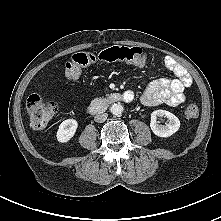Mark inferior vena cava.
<instances>
[{
    "mask_svg": "<svg viewBox=\"0 0 221 221\" xmlns=\"http://www.w3.org/2000/svg\"><path fill=\"white\" fill-rule=\"evenodd\" d=\"M107 117H108L107 113H100L94 117V120L97 123H103L104 121H106Z\"/></svg>",
    "mask_w": 221,
    "mask_h": 221,
    "instance_id": "obj_1",
    "label": "inferior vena cava"
}]
</instances>
